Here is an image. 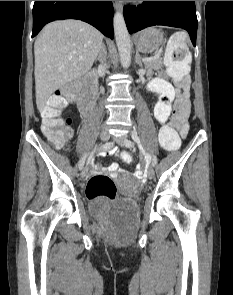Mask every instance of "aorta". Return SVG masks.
<instances>
[{
  "label": "aorta",
  "mask_w": 233,
  "mask_h": 295,
  "mask_svg": "<svg viewBox=\"0 0 233 295\" xmlns=\"http://www.w3.org/2000/svg\"><path fill=\"white\" fill-rule=\"evenodd\" d=\"M113 24L121 65L128 68L131 64V40L121 12L115 13Z\"/></svg>",
  "instance_id": "obj_1"
}]
</instances>
